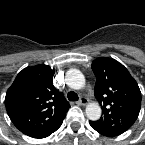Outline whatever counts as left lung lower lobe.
<instances>
[{"instance_id":"obj_1","label":"left lung lower lobe","mask_w":145,"mask_h":145,"mask_svg":"<svg viewBox=\"0 0 145 145\" xmlns=\"http://www.w3.org/2000/svg\"><path fill=\"white\" fill-rule=\"evenodd\" d=\"M90 123V122H89ZM91 125V124H90ZM92 126V125H91ZM92 128H94L93 126H92ZM95 129V128H94ZM96 130V129H95ZM98 133H100V134H102V135H105V136H108V135H106V134H104V133H102V132H100V131H98V130H96Z\"/></svg>"}]
</instances>
